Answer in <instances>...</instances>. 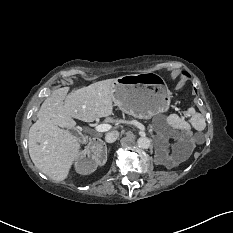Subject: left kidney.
Returning <instances> with one entry per match:
<instances>
[{"mask_svg": "<svg viewBox=\"0 0 233 233\" xmlns=\"http://www.w3.org/2000/svg\"><path fill=\"white\" fill-rule=\"evenodd\" d=\"M182 143H183V141H182L181 139H179L178 142H177V144H176V146H175V149L181 148ZM165 154H166V156L168 157V149H167V148H166V150H165ZM170 158H171V160L173 161V163H179V161H178L179 159H178V158H176V157H174V156H171Z\"/></svg>", "mask_w": 233, "mask_h": 233, "instance_id": "5707ae66", "label": "left kidney"}]
</instances>
